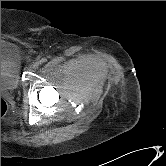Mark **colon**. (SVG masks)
<instances>
[{"instance_id": "colon-1", "label": "colon", "mask_w": 166, "mask_h": 166, "mask_svg": "<svg viewBox=\"0 0 166 166\" xmlns=\"http://www.w3.org/2000/svg\"><path fill=\"white\" fill-rule=\"evenodd\" d=\"M7 112V103L3 98H1V118L6 114Z\"/></svg>"}]
</instances>
